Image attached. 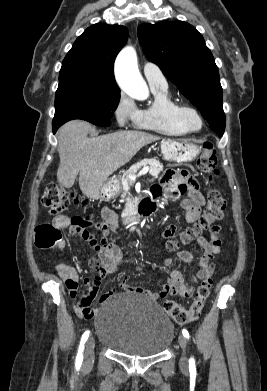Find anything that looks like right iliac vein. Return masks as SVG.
<instances>
[{
    "mask_svg": "<svg viewBox=\"0 0 267 391\" xmlns=\"http://www.w3.org/2000/svg\"><path fill=\"white\" fill-rule=\"evenodd\" d=\"M94 348H95V340L93 337H90L86 343V348H85V352H84V366L85 367H88L93 363Z\"/></svg>",
    "mask_w": 267,
    "mask_h": 391,
    "instance_id": "63e3f726",
    "label": "right iliac vein"
}]
</instances>
